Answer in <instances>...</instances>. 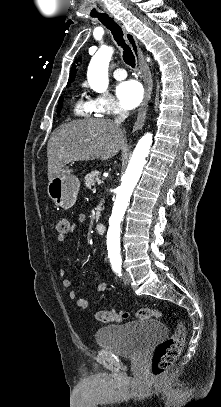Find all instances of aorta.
<instances>
[{"label": "aorta", "mask_w": 221, "mask_h": 407, "mask_svg": "<svg viewBox=\"0 0 221 407\" xmlns=\"http://www.w3.org/2000/svg\"><path fill=\"white\" fill-rule=\"evenodd\" d=\"M112 55L113 49L111 47H102L90 61L87 79L90 87L96 92H104L108 87V67ZM151 145L152 134L147 133L137 143L126 172L122 177V183L117 189L107 232L108 257L111 262L121 260L120 225L129 205L133 189L141 176Z\"/></svg>", "instance_id": "762f6f07"}]
</instances>
